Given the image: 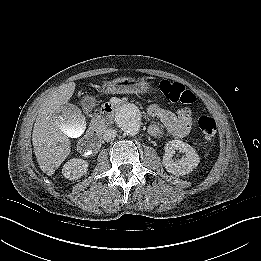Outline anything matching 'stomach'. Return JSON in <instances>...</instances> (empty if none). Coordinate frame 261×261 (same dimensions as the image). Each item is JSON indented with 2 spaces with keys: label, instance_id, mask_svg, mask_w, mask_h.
<instances>
[{
  "label": "stomach",
  "instance_id": "0dacf381",
  "mask_svg": "<svg viewBox=\"0 0 261 261\" xmlns=\"http://www.w3.org/2000/svg\"><path fill=\"white\" fill-rule=\"evenodd\" d=\"M149 90V82L135 78H118L105 83L101 88V91L105 94L145 93Z\"/></svg>",
  "mask_w": 261,
  "mask_h": 261
}]
</instances>
